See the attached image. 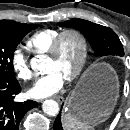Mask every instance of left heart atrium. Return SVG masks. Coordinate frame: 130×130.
Instances as JSON below:
<instances>
[{
  "label": "left heart atrium",
  "instance_id": "39dd6f15",
  "mask_svg": "<svg viewBox=\"0 0 130 130\" xmlns=\"http://www.w3.org/2000/svg\"><path fill=\"white\" fill-rule=\"evenodd\" d=\"M64 81L65 77L60 72L56 70L48 71L28 89V95L34 99L52 96L63 87Z\"/></svg>",
  "mask_w": 130,
  "mask_h": 130
}]
</instances>
